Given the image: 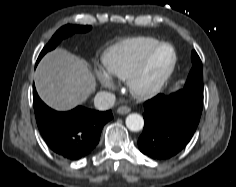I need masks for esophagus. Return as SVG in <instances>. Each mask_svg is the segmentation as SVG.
<instances>
[{
    "instance_id": "34e87169",
    "label": "esophagus",
    "mask_w": 236,
    "mask_h": 187,
    "mask_svg": "<svg viewBox=\"0 0 236 187\" xmlns=\"http://www.w3.org/2000/svg\"><path fill=\"white\" fill-rule=\"evenodd\" d=\"M131 111V109L127 106H120L118 109H117V113L118 114H121V115H125L127 113H129Z\"/></svg>"
}]
</instances>
